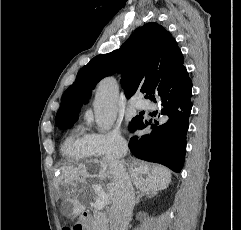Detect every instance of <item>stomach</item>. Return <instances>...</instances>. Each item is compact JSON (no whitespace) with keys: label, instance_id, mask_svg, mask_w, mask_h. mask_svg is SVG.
<instances>
[{"label":"stomach","instance_id":"obj_1","mask_svg":"<svg viewBox=\"0 0 241 230\" xmlns=\"http://www.w3.org/2000/svg\"><path fill=\"white\" fill-rule=\"evenodd\" d=\"M76 225L78 226L79 230H90L89 223L82 218L79 219Z\"/></svg>","mask_w":241,"mask_h":230}]
</instances>
